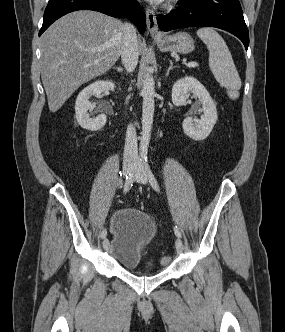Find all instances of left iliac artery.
<instances>
[{"mask_svg":"<svg viewBox=\"0 0 285 332\" xmlns=\"http://www.w3.org/2000/svg\"><path fill=\"white\" fill-rule=\"evenodd\" d=\"M144 166H145V172L147 173L148 177H149V181L151 183V186L153 187V189L156 191V192H160V189H159V185H158V182L154 176V174L152 173L149 165L147 162L144 163ZM174 233L175 235L178 237V238H181V232L179 231V229L175 226L174 227Z\"/></svg>","mask_w":285,"mask_h":332,"instance_id":"obj_1","label":"left iliac artery"}]
</instances>
